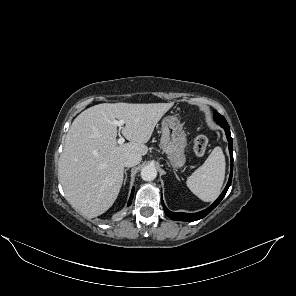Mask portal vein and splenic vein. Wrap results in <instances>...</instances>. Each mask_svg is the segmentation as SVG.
Returning <instances> with one entry per match:
<instances>
[{
	"label": "portal vein and splenic vein",
	"instance_id": "18ae733b",
	"mask_svg": "<svg viewBox=\"0 0 296 296\" xmlns=\"http://www.w3.org/2000/svg\"><path fill=\"white\" fill-rule=\"evenodd\" d=\"M113 124L120 127V128H122L124 122L122 120H119V121L114 120ZM124 141H125V139L122 136H120L117 142H118L119 145H122L124 143Z\"/></svg>",
	"mask_w": 296,
	"mask_h": 296
}]
</instances>
